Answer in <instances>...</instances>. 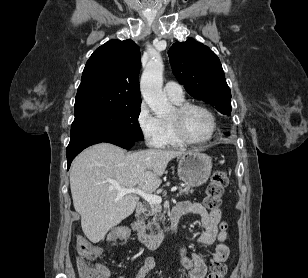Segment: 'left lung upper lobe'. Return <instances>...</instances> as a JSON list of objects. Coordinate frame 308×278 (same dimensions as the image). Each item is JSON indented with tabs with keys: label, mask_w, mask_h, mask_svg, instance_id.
Segmentation results:
<instances>
[{
	"label": "left lung upper lobe",
	"mask_w": 308,
	"mask_h": 278,
	"mask_svg": "<svg viewBox=\"0 0 308 278\" xmlns=\"http://www.w3.org/2000/svg\"><path fill=\"white\" fill-rule=\"evenodd\" d=\"M168 56L175 77L192 97L231 114L230 88L219 58L209 47L190 38L174 43Z\"/></svg>",
	"instance_id": "1"
}]
</instances>
